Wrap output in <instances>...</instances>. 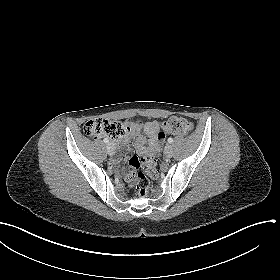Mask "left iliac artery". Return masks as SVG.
<instances>
[{"label": "left iliac artery", "mask_w": 280, "mask_h": 280, "mask_svg": "<svg viewBox=\"0 0 280 280\" xmlns=\"http://www.w3.org/2000/svg\"><path fill=\"white\" fill-rule=\"evenodd\" d=\"M172 142H173V138H171V137H170V138H168V143H170V144H171Z\"/></svg>", "instance_id": "1"}]
</instances>
